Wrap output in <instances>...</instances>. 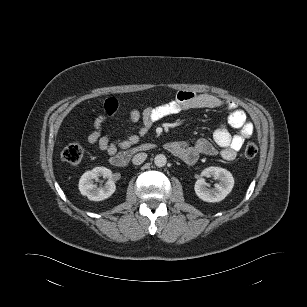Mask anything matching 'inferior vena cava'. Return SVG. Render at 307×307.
<instances>
[{
	"label": "inferior vena cava",
	"instance_id": "obj_1",
	"mask_svg": "<svg viewBox=\"0 0 307 307\" xmlns=\"http://www.w3.org/2000/svg\"><path fill=\"white\" fill-rule=\"evenodd\" d=\"M147 158V154L146 153H138L136 155H134L133 159H132V163L134 165H140L141 163H143Z\"/></svg>",
	"mask_w": 307,
	"mask_h": 307
}]
</instances>
